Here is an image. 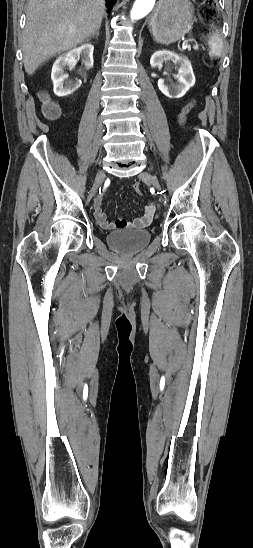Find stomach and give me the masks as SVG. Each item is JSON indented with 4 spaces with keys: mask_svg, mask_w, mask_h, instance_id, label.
<instances>
[{
    "mask_svg": "<svg viewBox=\"0 0 253 548\" xmlns=\"http://www.w3.org/2000/svg\"><path fill=\"white\" fill-rule=\"evenodd\" d=\"M193 22L194 8L189 0H161L149 29L157 42L171 44L189 32Z\"/></svg>",
    "mask_w": 253,
    "mask_h": 548,
    "instance_id": "1",
    "label": "stomach"
}]
</instances>
